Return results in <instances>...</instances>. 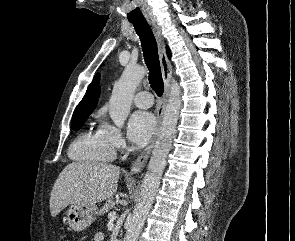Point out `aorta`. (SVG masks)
I'll list each match as a JSON object with an SVG mask.
<instances>
[{
  "label": "aorta",
  "mask_w": 295,
  "mask_h": 241,
  "mask_svg": "<svg viewBox=\"0 0 295 241\" xmlns=\"http://www.w3.org/2000/svg\"><path fill=\"white\" fill-rule=\"evenodd\" d=\"M145 74L144 67L128 65L120 79L115 83L109 100V115L117 127H123L130 113L134 92ZM181 95L179 84L177 81L172 80L163 121L143 179L140 198L134 208L124 241H137L146 216L154 202L176 132L182 104Z\"/></svg>",
  "instance_id": "762f6f07"
}]
</instances>
